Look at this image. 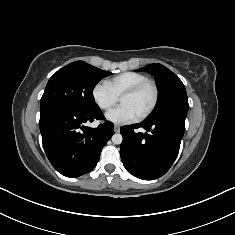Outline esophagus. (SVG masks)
I'll use <instances>...</instances> for the list:
<instances>
[{
	"label": "esophagus",
	"mask_w": 235,
	"mask_h": 235,
	"mask_svg": "<svg viewBox=\"0 0 235 235\" xmlns=\"http://www.w3.org/2000/svg\"><path fill=\"white\" fill-rule=\"evenodd\" d=\"M114 131L115 132H119L120 131V126L119 125H115L114 126Z\"/></svg>",
	"instance_id": "obj_1"
}]
</instances>
